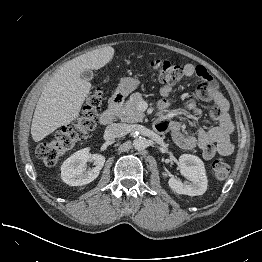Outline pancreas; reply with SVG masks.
<instances>
[{"instance_id": "pancreas-1", "label": "pancreas", "mask_w": 262, "mask_h": 262, "mask_svg": "<svg viewBox=\"0 0 262 262\" xmlns=\"http://www.w3.org/2000/svg\"><path fill=\"white\" fill-rule=\"evenodd\" d=\"M143 101L140 93H133L123 107L117 111V116L122 122L135 123L141 122L145 114L139 110L138 105Z\"/></svg>"}]
</instances>
